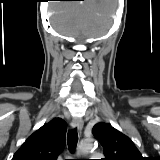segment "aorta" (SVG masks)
Here are the masks:
<instances>
[{
    "label": "aorta",
    "mask_w": 160,
    "mask_h": 160,
    "mask_svg": "<svg viewBox=\"0 0 160 160\" xmlns=\"http://www.w3.org/2000/svg\"><path fill=\"white\" fill-rule=\"evenodd\" d=\"M95 147V140L94 139H85L80 144V151L82 153H86L92 150Z\"/></svg>",
    "instance_id": "aorta-1"
}]
</instances>
